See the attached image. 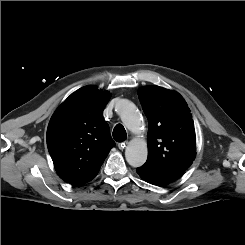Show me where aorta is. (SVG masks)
Wrapping results in <instances>:
<instances>
[{
    "mask_svg": "<svg viewBox=\"0 0 245 245\" xmlns=\"http://www.w3.org/2000/svg\"><path fill=\"white\" fill-rule=\"evenodd\" d=\"M116 110L124 125L133 133L139 134L144 129L142 116L134 103L127 99H121ZM147 143L144 140L134 139L125 150V157L132 167H140L147 160Z\"/></svg>",
    "mask_w": 245,
    "mask_h": 245,
    "instance_id": "obj_1",
    "label": "aorta"
}]
</instances>
